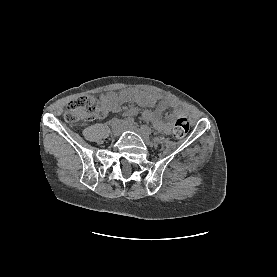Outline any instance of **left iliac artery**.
<instances>
[{
    "instance_id": "44dca946",
    "label": "left iliac artery",
    "mask_w": 277,
    "mask_h": 277,
    "mask_svg": "<svg viewBox=\"0 0 277 277\" xmlns=\"http://www.w3.org/2000/svg\"><path fill=\"white\" fill-rule=\"evenodd\" d=\"M142 131H144L147 135L152 134V130L147 125H141Z\"/></svg>"
}]
</instances>
